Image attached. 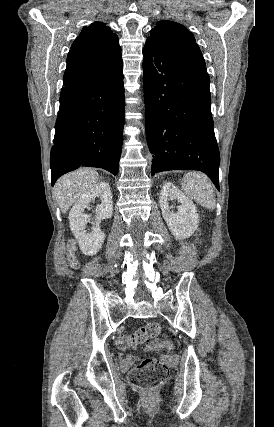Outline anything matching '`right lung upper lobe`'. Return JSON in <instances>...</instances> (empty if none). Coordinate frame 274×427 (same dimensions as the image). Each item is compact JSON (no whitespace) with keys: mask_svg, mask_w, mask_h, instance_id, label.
Returning <instances> with one entry per match:
<instances>
[{"mask_svg":"<svg viewBox=\"0 0 274 427\" xmlns=\"http://www.w3.org/2000/svg\"><path fill=\"white\" fill-rule=\"evenodd\" d=\"M122 63L116 34L102 22L84 27L67 56L63 87L100 76Z\"/></svg>","mask_w":274,"mask_h":427,"instance_id":"1","label":"right lung upper lobe"}]
</instances>
